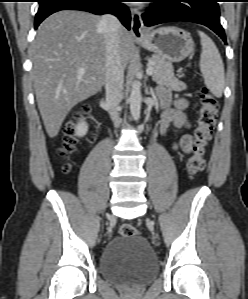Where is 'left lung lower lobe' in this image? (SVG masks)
Here are the masks:
<instances>
[{
    "label": "left lung lower lobe",
    "mask_w": 248,
    "mask_h": 299,
    "mask_svg": "<svg viewBox=\"0 0 248 299\" xmlns=\"http://www.w3.org/2000/svg\"><path fill=\"white\" fill-rule=\"evenodd\" d=\"M153 4L142 14L145 26L171 21L202 24L213 30L226 43L219 21L218 0H152Z\"/></svg>",
    "instance_id": "obj_1"
}]
</instances>
